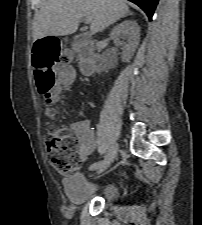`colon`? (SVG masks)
<instances>
[{"label": "colon", "instance_id": "5ec220e1", "mask_svg": "<svg viewBox=\"0 0 202 225\" xmlns=\"http://www.w3.org/2000/svg\"><path fill=\"white\" fill-rule=\"evenodd\" d=\"M35 66V81L38 93L48 105L55 104L61 94L54 86L56 77H63L52 71L54 66H65L71 60L70 53L60 47V39L47 37L37 40L32 48ZM53 108L47 109L53 115ZM47 155L51 166L61 174L73 173L80 168L79 146L71 132L66 129L57 130L46 140Z\"/></svg>", "mask_w": 202, "mask_h": 225}]
</instances>
